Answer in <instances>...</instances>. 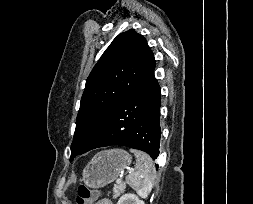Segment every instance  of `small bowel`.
<instances>
[{"instance_id":"small-bowel-1","label":"small bowel","mask_w":253,"mask_h":204,"mask_svg":"<svg viewBox=\"0 0 253 204\" xmlns=\"http://www.w3.org/2000/svg\"><path fill=\"white\" fill-rule=\"evenodd\" d=\"M95 204H113L109 199L98 200Z\"/></svg>"}]
</instances>
